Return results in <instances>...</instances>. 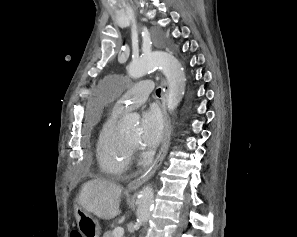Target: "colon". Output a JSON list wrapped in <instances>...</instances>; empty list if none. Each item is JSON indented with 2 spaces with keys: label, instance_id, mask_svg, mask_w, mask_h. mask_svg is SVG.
<instances>
[{
  "label": "colon",
  "instance_id": "5ec220e1",
  "mask_svg": "<svg viewBox=\"0 0 297 237\" xmlns=\"http://www.w3.org/2000/svg\"><path fill=\"white\" fill-rule=\"evenodd\" d=\"M71 237H82L78 232H72Z\"/></svg>",
  "mask_w": 297,
  "mask_h": 237
}]
</instances>
